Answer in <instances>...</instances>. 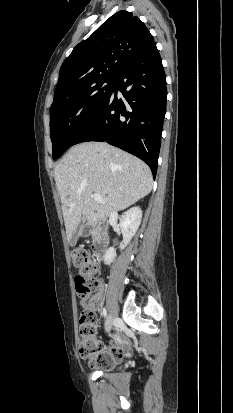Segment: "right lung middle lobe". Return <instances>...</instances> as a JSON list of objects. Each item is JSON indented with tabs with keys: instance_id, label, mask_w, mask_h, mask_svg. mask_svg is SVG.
Here are the masks:
<instances>
[{
	"instance_id": "dd1d6c3e",
	"label": "right lung middle lobe",
	"mask_w": 233,
	"mask_h": 413,
	"mask_svg": "<svg viewBox=\"0 0 233 413\" xmlns=\"http://www.w3.org/2000/svg\"><path fill=\"white\" fill-rule=\"evenodd\" d=\"M114 89V78L99 80L54 101L50 109L53 159L60 156L98 115Z\"/></svg>"
}]
</instances>
